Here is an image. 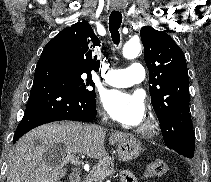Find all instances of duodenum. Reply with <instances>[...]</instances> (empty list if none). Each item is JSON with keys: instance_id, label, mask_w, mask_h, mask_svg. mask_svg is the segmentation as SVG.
Here are the masks:
<instances>
[{"instance_id": "410a0bca", "label": "duodenum", "mask_w": 211, "mask_h": 182, "mask_svg": "<svg viewBox=\"0 0 211 182\" xmlns=\"http://www.w3.org/2000/svg\"><path fill=\"white\" fill-rule=\"evenodd\" d=\"M82 174L80 172H73L69 177V182H81Z\"/></svg>"}]
</instances>
